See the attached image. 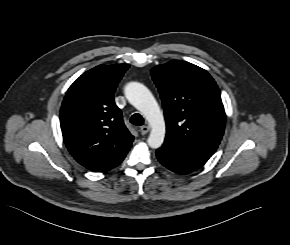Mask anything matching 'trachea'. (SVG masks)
<instances>
[{
    "mask_svg": "<svg viewBox=\"0 0 290 245\" xmlns=\"http://www.w3.org/2000/svg\"><path fill=\"white\" fill-rule=\"evenodd\" d=\"M130 122L133 125L141 126V125H143L144 120H143V117L139 113H135V114L132 115V117L130 119Z\"/></svg>",
    "mask_w": 290,
    "mask_h": 245,
    "instance_id": "1",
    "label": "trachea"
}]
</instances>
